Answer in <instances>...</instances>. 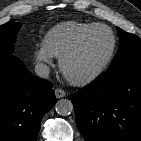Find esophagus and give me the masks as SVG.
I'll return each mask as SVG.
<instances>
[{"instance_id":"obj_1","label":"esophagus","mask_w":141,"mask_h":141,"mask_svg":"<svg viewBox=\"0 0 141 141\" xmlns=\"http://www.w3.org/2000/svg\"><path fill=\"white\" fill-rule=\"evenodd\" d=\"M55 95H56V98L60 99L66 96V92L61 88H57L55 90Z\"/></svg>"}]
</instances>
